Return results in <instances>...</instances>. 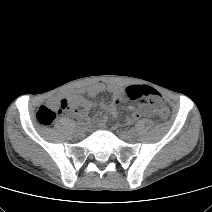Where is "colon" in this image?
I'll list each match as a JSON object with an SVG mask.
<instances>
[{
	"mask_svg": "<svg viewBox=\"0 0 212 212\" xmlns=\"http://www.w3.org/2000/svg\"><path fill=\"white\" fill-rule=\"evenodd\" d=\"M126 94L132 100L143 99L147 101L158 109L161 118H169L170 111L163 104L160 93L154 88L145 85H132L126 89ZM66 109H68V102L66 99L51 100L38 108L36 120L42 126H50Z\"/></svg>",
	"mask_w": 212,
	"mask_h": 212,
	"instance_id": "obj_1",
	"label": "colon"
}]
</instances>
